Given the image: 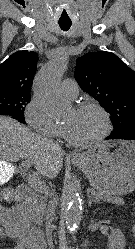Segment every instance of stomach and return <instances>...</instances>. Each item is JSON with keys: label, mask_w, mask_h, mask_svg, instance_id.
Listing matches in <instances>:
<instances>
[{"label": "stomach", "mask_w": 135, "mask_h": 249, "mask_svg": "<svg viewBox=\"0 0 135 249\" xmlns=\"http://www.w3.org/2000/svg\"><path fill=\"white\" fill-rule=\"evenodd\" d=\"M74 164L98 191L124 195L135 190L134 141L103 142L83 153Z\"/></svg>", "instance_id": "obj_1"}]
</instances>
